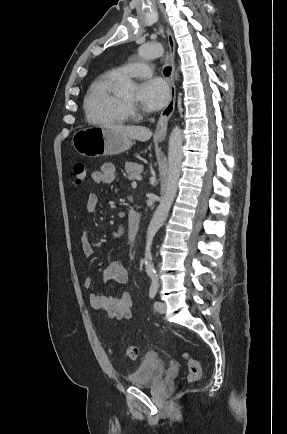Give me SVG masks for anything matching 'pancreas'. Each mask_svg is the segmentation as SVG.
I'll list each match as a JSON object with an SVG mask.
<instances>
[{
	"mask_svg": "<svg viewBox=\"0 0 287 434\" xmlns=\"http://www.w3.org/2000/svg\"><path fill=\"white\" fill-rule=\"evenodd\" d=\"M125 171L129 180H134L143 171V166L138 163H125Z\"/></svg>",
	"mask_w": 287,
	"mask_h": 434,
	"instance_id": "obj_1",
	"label": "pancreas"
}]
</instances>
